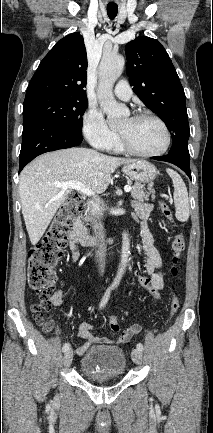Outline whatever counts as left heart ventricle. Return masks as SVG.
I'll use <instances>...</instances> for the list:
<instances>
[{"instance_id": "obj_1", "label": "left heart ventricle", "mask_w": 213, "mask_h": 433, "mask_svg": "<svg viewBox=\"0 0 213 433\" xmlns=\"http://www.w3.org/2000/svg\"><path fill=\"white\" fill-rule=\"evenodd\" d=\"M129 144L142 152L159 151L165 143V134L158 123L150 119L127 118L119 127Z\"/></svg>"}]
</instances>
